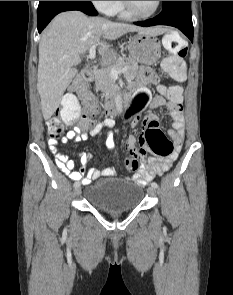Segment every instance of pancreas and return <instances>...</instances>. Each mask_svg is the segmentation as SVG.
<instances>
[{
    "label": "pancreas",
    "instance_id": "1",
    "mask_svg": "<svg viewBox=\"0 0 233 295\" xmlns=\"http://www.w3.org/2000/svg\"><path fill=\"white\" fill-rule=\"evenodd\" d=\"M123 67H127L128 70L125 72L126 78H133L137 74L138 71V63L133 58H120L114 60L110 64H106L103 68L97 70L95 76V88L96 90H100L106 97H109L113 94L117 86L113 81V77L111 75V69H121Z\"/></svg>",
    "mask_w": 233,
    "mask_h": 295
}]
</instances>
